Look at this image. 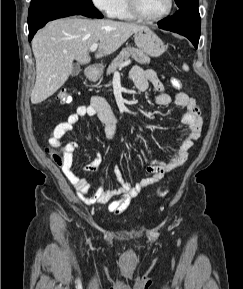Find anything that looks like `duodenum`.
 Returning <instances> with one entry per match:
<instances>
[{
  "label": "duodenum",
  "instance_id": "duodenum-1",
  "mask_svg": "<svg viewBox=\"0 0 243 289\" xmlns=\"http://www.w3.org/2000/svg\"><path fill=\"white\" fill-rule=\"evenodd\" d=\"M88 73L90 75H95L97 73V67L95 66H91L89 69H88Z\"/></svg>",
  "mask_w": 243,
  "mask_h": 289
}]
</instances>
